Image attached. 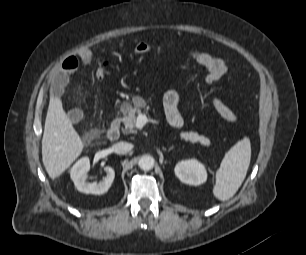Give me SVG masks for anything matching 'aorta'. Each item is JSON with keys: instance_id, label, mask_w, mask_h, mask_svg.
I'll list each match as a JSON object with an SVG mask.
<instances>
[{"instance_id": "762f6f07", "label": "aorta", "mask_w": 306, "mask_h": 255, "mask_svg": "<svg viewBox=\"0 0 306 255\" xmlns=\"http://www.w3.org/2000/svg\"><path fill=\"white\" fill-rule=\"evenodd\" d=\"M154 164L155 160L151 155H143L138 161L139 167L144 171L151 170L154 167Z\"/></svg>"}]
</instances>
